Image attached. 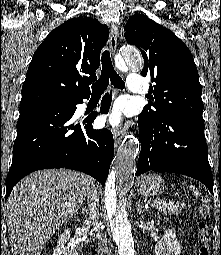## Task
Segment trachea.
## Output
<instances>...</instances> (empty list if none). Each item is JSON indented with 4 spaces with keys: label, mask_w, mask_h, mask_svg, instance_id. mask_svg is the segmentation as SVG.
<instances>
[{
    "label": "trachea",
    "mask_w": 221,
    "mask_h": 255,
    "mask_svg": "<svg viewBox=\"0 0 221 255\" xmlns=\"http://www.w3.org/2000/svg\"><path fill=\"white\" fill-rule=\"evenodd\" d=\"M109 81L111 84L119 89L125 88V83L122 78L116 73L113 68L110 52L105 50L102 54V71L101 76L94 84H92V93L100 94L103 93L104 90L109 85Z\"/></svg>",
    "instance_id": "3493384b"
}]
</instances>
